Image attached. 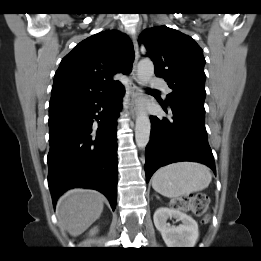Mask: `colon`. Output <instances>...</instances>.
I'll use <instances>...</instances> for the list:
<instances>
[{"instance_id": "1", "label": "colon", "mask_w": 261, "mask_h": 261, "mask_svg": "<svg viewBox=\"0 0 261 261\" xmlns=\"http://www.w3.org/2000/svg\"><path fill=\"white\" fill-rule=\"evenodd\" d=\"M209 198L206 194L181 196L173 200V206L180 210H191L196 216H204V221L208 220L206 215Z\"/></svg>"}]
</instances>
